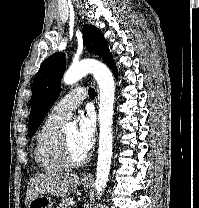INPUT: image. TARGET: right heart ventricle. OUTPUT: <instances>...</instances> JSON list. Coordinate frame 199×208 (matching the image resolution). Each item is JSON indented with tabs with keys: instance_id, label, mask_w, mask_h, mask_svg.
<instances>
[{
	"instance_id": "obj_1",
	"label": "right heart ventricle",
	"mask_w": 199,
	"mask_h": 208,
	"mask_svg": "<svg viewBox=\"0 0 199 208\" xmlns=\"http://www.w3.org/2000/svg\"><path fill=\"white\" fill-rule=\"evenodd\" d=\"M62 124L63 121L49 116L37 134L35 160L45 172H61L67 167L60 152L62 138L60 128Z\"/></svg>"
}]
</instances>
